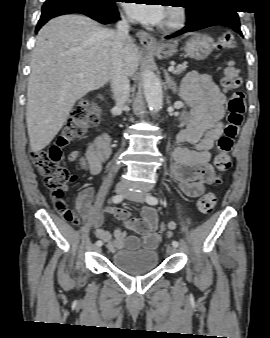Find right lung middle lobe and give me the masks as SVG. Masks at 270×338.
Segmentation results:
<instances>
[{
  "label": "right lung middle lobe",
  "instance_id": "1",
  "mask_svg": "<svg viewBox=\"0 0 270 338\" xmlns=\"http://www.w3.org/2000/svg\"><path fill=\"white\" fill-rule=\"evenodd\" d=\"M54 1H60V0H47L46 2H54ZM65 1H85V2H89V3H97V4H102V5H109L114 0H65Z\"/></svg>",
  "mask_w": 270,
  "mask_h": 338
}]
</instances>
